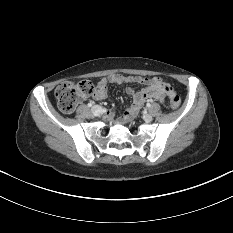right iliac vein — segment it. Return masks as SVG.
I'll use <instances>...</instances> for the list:
<instances>
[{
  "mask_svg": "<svg viewBox=\"0 0 233 233\" xmlns=\"http://www.w3.org/2000/svg\"><path fill=\"white\" fill-rule=\"evenodd\" d=\"M92 113L97 116L101 113L102 109L99 105H94L91 109Z\"/></svg>",
  "mask_w": 233,
  "mask_h": 233,
  "instance_id": "right-iliac-vein-1",
  "label": "right iliac vein"
}]
</instances>
